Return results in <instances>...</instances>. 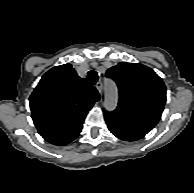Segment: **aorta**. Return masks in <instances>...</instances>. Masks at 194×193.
Segmentation results:
<instances>
[{"mask_svg":"<svg viewBox=\"0 0 194 193\" xmlns=\"http://www.w3.org/2000/svg\"><path fill=\"white\" fill-rule=\"evenodd\" d=\"M117 88L111 79L105 80V100L104 105L107 110H113L117 106Z\"/></svg>","mask_w":194,"mask_h":193,"instance_id":"762f6f07","label":"aorta"}]
</instances>
